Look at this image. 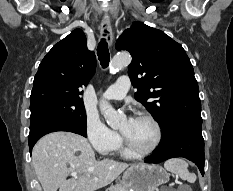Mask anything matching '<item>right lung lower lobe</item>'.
Wrapping results in <instances>:
<instances>
[{"label": "right lung lower lobe", "instance_id": "98d812e1", "mask_svg": "<svg viewBox=\"0 0 233 191\" xmlns=\"http://www.w3.org/2000/svg\"><path fill=\"white\" fill-rule=\"evenodd\" d=\"M55 131H68V132H73L80 134L84 137L87 136L86 132H83L71 125L65 124V123H54V122H49V123H43L40 124L39 126L30 129V134H29V149L30 153L32 151L33 146L35 143L44 135L50 133V132H55Z\"/></svg>", "mask_w": 233, "mask_h": 191}]
</instances>
